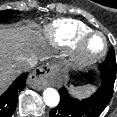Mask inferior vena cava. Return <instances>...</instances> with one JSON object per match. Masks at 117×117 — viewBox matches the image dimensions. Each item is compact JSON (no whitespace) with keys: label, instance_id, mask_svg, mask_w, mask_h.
<instances>
[{"label":"inferior vena cava","instance_id":"1","mask_svg":"<svg viewBox=\"0 0 117 117\" xmlns=\"http://www.w3.org/2000/svg\"><path fill=\"white\" fill-rule=\"evenodd\" d=\"M37 64V60L36 59H30L27 60L26 62L21 63L20 65V71H28L30 70L32 67H34Z\"/></svg>","mask_w":117,"mask_h":117}]
</instances>
